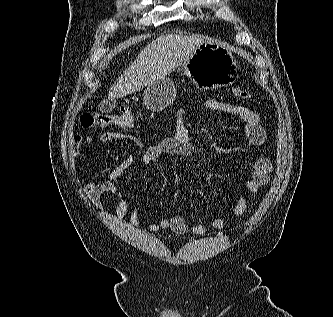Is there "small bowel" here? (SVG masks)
I'll return each mask as SVG.
<instances>
[{
  "label": "small bowel",
  "mask_w": 333,
  "mask_h": 317,
  "mask_svg": "<svg viewBox=\"0 0 333 317\" xmlns=\"http://www.w3.org/2000/svg\"><path fill=\"white\" fill-rule=\"evenodd\" d=\"M202 106L211 111L234 115L243 121L246 136L254 146L261 147L266 143L267 135L265 129L261 124L259 115L254 110L240 105L210 99L203 101ZM186 114L187 112L184 108L181 107L177 109L175 112V134L147 147L140 158L143 165H151L164 156L176 155L184 158H193L195 156V149L191 143L190 133L184 121ZM98 140L101 144L112 140H130L140 145L139 140L132 136L112 132H104L100 135ZM89 141V138L82 135H75L69 145L70 158L75 159L79 155L80 148ZM135 162L136 156L134 154L128 155L111 169L106 181H90L85 185L84 191L92 203L98 208H101V199L104 195L109 194L115 197L117 200V207L115 209L116 220L121 222L129 214L132 226L137 227L139 224L137 204L133 203L130 205L116 185L121 175L133 166ZM271 171V161L266 157H259L251 164L245 190L240 192L233 208V215L235 217L241 216L246 211L249 199L258 192L260 187L268 183ZM212 226L215 229L224 228V218L221 216L215 217L212 221ZM148 230L150 232L171 230L177 234H185L191 231L198 235L207 232V228L204 225H189L185 218L179 214L173 215L170 218H162L157 222H151L148 225Z\"/></svg>",
  "instance_id": "small-bowel-1"
}]
</instances>
